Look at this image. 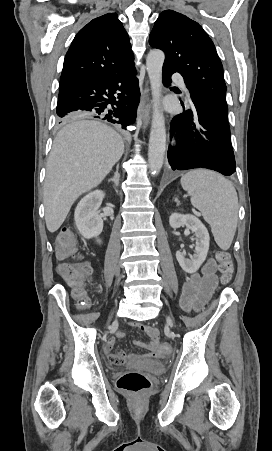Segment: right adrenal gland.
I'll use <instances>...</instances> for the list:
<instances>
[{
	"label": "right adrenal gland",
	"instance_id": "obj_1",
	"mask_svg": "<svg viewBox=\"0 0 272 451\" xmlns=\"http://www.w3.org/2000/svg\"><path fill=\"white\" fill-rule=\"evenodd\" d=\"M118 168H119V164L117 166V172H115V174H114V178H110V180H108V182H114V186H118V184H119L120 174H118Z\"/></svg>",
	"mask_w": 272,
	"mask_h": 451
}]
</instances>
